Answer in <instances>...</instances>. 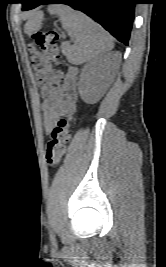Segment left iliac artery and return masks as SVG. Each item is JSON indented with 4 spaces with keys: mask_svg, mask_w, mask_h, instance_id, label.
Here are the masks:
<instances>
[{
    "mask_svg": "<svg viewBox=\"0 0 166 267\" xmlns=\"http://www.w3.org/2000/svg\"><path fill=\"white\" fill-rule=\"evenodd\" d=\"M51 238H52V240L54 241V237H53V236H51Z\"/></svg>",
    "mask_w": 166,
    "mask_h": 267,
    "instance_id": "44dca946",
    "label": "left iliac artery"
}]
</instances>
